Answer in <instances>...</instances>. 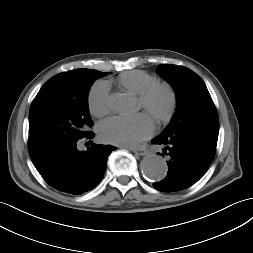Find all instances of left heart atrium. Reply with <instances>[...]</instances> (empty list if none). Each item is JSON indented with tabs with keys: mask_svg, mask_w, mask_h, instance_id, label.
<instances>
[{
	"mask_svg": "<svg viewBox=\"0 0 253 253\" xmlns=\"http://www.w3.org/2000/svg\"><path fill=\"white\" fill-rule=\"evenodd\" d=\"M153 119L146 113L131 116H112L98 126L101 139L120 146H133L154 132Z\"/></svg>",
	"mask_w": 253,
	"mask_h": 253,
	"instance_id": "obj_1",
	"label": "left heart atrium"
}]
</instances>
